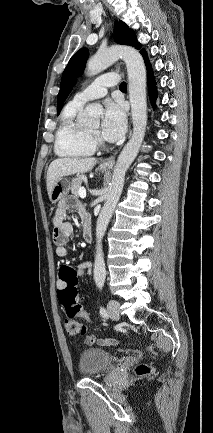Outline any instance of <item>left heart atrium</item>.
<instances>
[{"instance_id":"obj_1","label":"left heart atrium","mask_w":213,"mask_h":433,"mask_svg":"<svg viewBox=\"0 0 213 433\" xmlns=\"http://www.w3.org/2000/svg\"><path fill=\"white\" fill-rule=\"evenodd\" d=\"M126 130L125 113L118 102L108 100L105 103L101 134L108 141H116Z\"/></svg>"}]
</instances>
